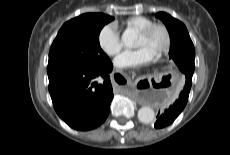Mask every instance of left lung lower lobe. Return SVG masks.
I'll return each instance as SVG.
<instances>
[{
    "mask_svg": "<svg viewBox=\"0 0 230 155\" xmlns=\"http://www.w3.org/2000/svg\"><path fill=\"white\" fill-rule=\"evenodd\" d=\"M192 85V76L185 77V85L182 88L178 99L168 109L161 114L155 123V128H163L170 125L177 116L183 111Z\"/></svg>",
    "mask_w": 230,
    "mask_h": 155,
    "instance_id": "left-lung-lower-lobe-1",
    "label": "left lung lower lobe"
}]
</instances>
